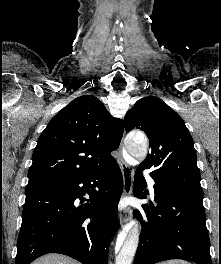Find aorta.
<instances>
[{"label": "aorta", "mask_w": 221, "mask_h": 264, "mask_svg": "<svg viewBox=\"0 0 221 264\" xmlns=\"http://www.w3.org/2000/svg\"><path fill=\"white\" fill-rule=\"evenodd\" d=\"M148 142L144 135H130L127 138L126 150L134 158L143 160L147 155ZM140 236V225L137 221L129 223L119 234L115 253L116 264H132Z\"/></svg>", "instance_id": "1"}]
</instances>
